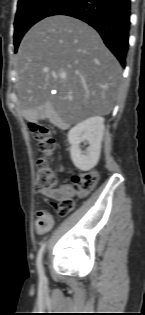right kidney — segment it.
Segmentation results:
<instances>
[{"label":"right kidney","instance_id":"obj_1","mask_svg":"<svg viewBox=\"0 0 145 315\" xmlns=\"http://www.w3.org/2000/svg\"><path fill=\"white\" fill-rule=\"evenodd\" d=\"M103 134L104 119L100 116L87 118L70 129L68 133L70 155L78 169L89 171L96 166L100 157ZM83 141L89 144L85 153L80 149V143Z\"/></svg>","mask_w":145,"mask_h":315}]
</instances>
